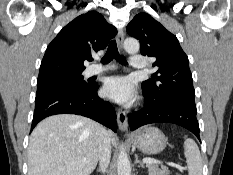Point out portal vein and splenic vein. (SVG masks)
<instances>
[{
    "label": "portal vein and splenic vein",
    "mask_w": 233,
    "mask_h": 175,
    "mask_svg": "<svg viewBox=\"0 0 233 175\" xmlns=\"http://www.w3.org/2000/svg\"><path fill=\"white\" fill-rule=\"evenodd\" d=\"M143 162L146 164H161L160 161L152 159V158H144Z\"/></svg>",
    "instance_id": "obj_1"
}]
</instances>
